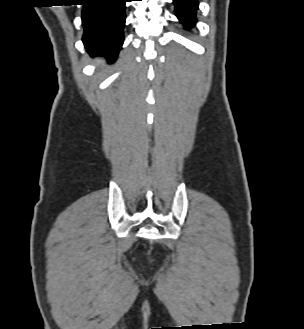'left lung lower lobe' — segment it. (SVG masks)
<instances>
[{"mask_svg": "<svg viewBox=\"0 0 304 329\" xmlns=\"http://www.w3.org/2000/svg\"><path fill=\"white\" fill-rule=\"evenodd\" d=\"M176 6V16L186 26L193 27L196 23L198 0H173Z\"/></svg>", "mask_w": 304, "mask_h": 329, "instance_id": "left-lung-lower-lobe-1", "label": "left lung lower lobe"}]
</instances>
